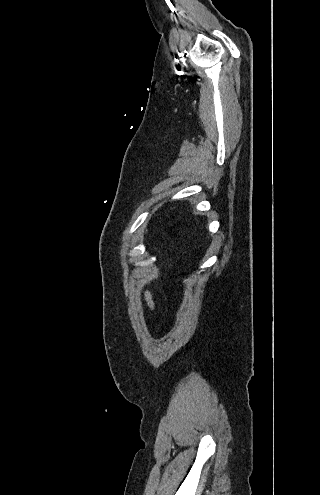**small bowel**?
Returning <instances> with one entry per match:
<instances>
[{"instance_id":"obj_1","label":"small bowel","mask_w":320,"mask_h":495,"mask_svg":"<svg viewBox=\"0 0 320 495\" xmlns=\"http://www.w3.org/2000/svg\"><path fill=\"white\" fill-rule=\"evenodd\" d=\"M145 300L150 307H154V301L152 298V294L148 290L145 291Z\"/></svg>"}]
</instances>
